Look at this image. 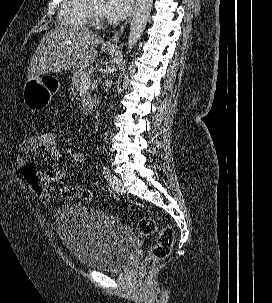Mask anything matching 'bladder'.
I'll return each mask as SVG.
<instances>
[{"mask_svg": "<svg viewBox=\"0 0 272 303\" xmlns=\"http://www.w3.org/2000/svg\"><path fill=\"white\" fill-rule=\"evenodd\" d=\"M54 221L69 252L86 268L122 271L136 254L137 235L109 213L64 204L57 209Z\"/></svg>", "mask_w": 272, "mask_h": 303, "instance_id": "1", "label": "bladder"}]
</instances>
